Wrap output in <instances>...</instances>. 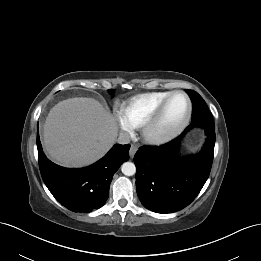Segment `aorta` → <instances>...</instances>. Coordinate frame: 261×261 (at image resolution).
<instances>
[{
  "mask_svg": "<svg viewBox=\"0 0 261 261\" xmlns=\"http://www.w3.org/2000/svg\"><path fill=\"white\" fill-rule=\"evenodd\" d=\"M122 173L126 176H133L136 173V167L132 162H125L121 166Z\"/></svg>",
  "mask_w": 261,
  "mask_h": 261,
  "instance_id": "762f6f07",
  "label": "aorta"
}]
</instances>
